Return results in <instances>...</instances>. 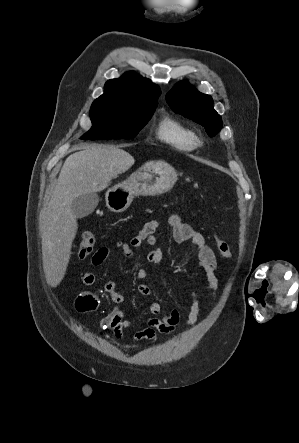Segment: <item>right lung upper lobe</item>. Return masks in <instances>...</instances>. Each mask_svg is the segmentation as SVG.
<instances>
[{
	"label": "right lung upper lobe",
	"mask_w": 299,
	"mask_h": 443,
	"mask_svg": "<svg viewBox=\"0 0 299 443\" xmlns=\"http://www.w3.org/2000/svg\"><path fill=\"white\" fill-rule=\"evenodd\" d=\"M160 90L157 85L134 72L108 80L104 94L97 101H118L133 105H156Z\"/></svg>",
	"instance_id": "1"
}]
</instances>
